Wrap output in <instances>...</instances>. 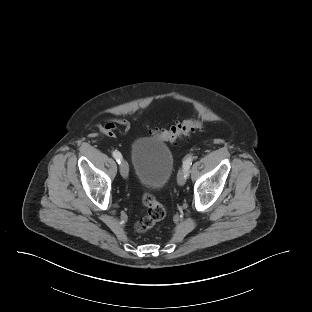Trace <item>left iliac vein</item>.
I'll return each instance as SVG.
<instances>
[{"label": "left iliac vein", "instance_id": "4c4485c4", "mask_svg": "<svg viewBox=\"0 0 312 312\" xmlns=\"http://www.w3.org/2000/svg\"><path fill=\"white\" fill-rule=\"evenodd\" d=\"M187 175L188 173L184 168L179 170L178 175H177L178 185L183 186L185 184Z\"/></svg>", "mask_w": 312, "mask_h": 312}]
</instances>
